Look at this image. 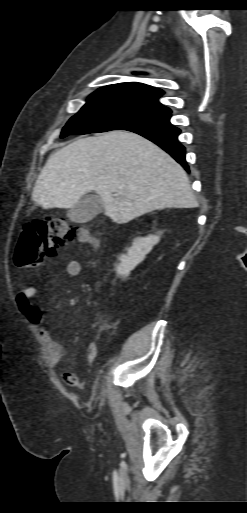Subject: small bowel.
<instances>
[{
  "label": "small bowel",
  "instance_id": "c3829d8e",
  "mask_svg": "<svg viewBox=\"0 0 247 513\" xmlns=\"http://www.w3.org/2000/svg\"><path fill=\"white\" fill-rule=\"evenodd\" d=\"M81 263L77 259H69L65 265V273L68 276L76 277L80 274ZM37 294V288L33 286L22 289L17 295V303L20 311L25 318L33 325H35L46 344L47 348V363L50 366H56L64 357V347L57 343L51 337L49 331L44 327L45 315L41 309L35 306L31 300ZM97 349L94 345L87 346L85 350V360L92 363L97 358ZM66 384L79 387L81 381L73 372H65L63 374Z\"/></svg>",
  "mask_w": 247,
  "mask_h": 513
}]
</instances>
